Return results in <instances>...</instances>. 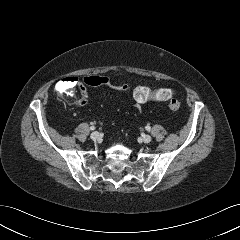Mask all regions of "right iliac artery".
Here are the masks:
<instances>
[{"label": "right iliac artery", "mask_w": 240, "mask_h": 240, "mask_svg": "<svg viewBox=\"0 0 240 240\" xmlns=\"http://www.w3.org/2000/svg\"><path fill=\"white\" fill-rule=\"evenodd\" d=\"M90 129H91V130H95V127H94V126H91Z\"/></svg>", "instance_id": "82829eb1"}]
</instances>
